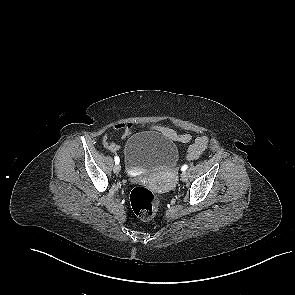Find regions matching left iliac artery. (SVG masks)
I'll return each mask as SVG.
<instances>
[{
  "label": "left iliac artery",
  "instance_id": "left-iliac-artery-1",
  "mask_svg": "<svg viewBox=\"0 0 295 295\" xmlns=\"http://www.w3.org/2000/svg\"><path fill=\"white\" fill-rule=\"evenodd\" d=\"M187 168H188V165H183L182 168H181V170L182 171H185Z\"/></svg>",
  "mask_w": 295,
  "mask_h": 295
}]
</instances>
